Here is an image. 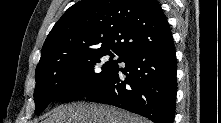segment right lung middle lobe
Returning a JSON list of instances; mask_svg holds the SVG:
<instances>
[{"label":"right lung middle lobe","mask_w":221,"mask_h":123,"mask_svg":"<svg viewBox=\"0 0 221 123\" xmlns=\"http://www.w3.org/2000/svg\"><path fill=\"white\" fill-rule=\"evenodd\" d=\"M116 55L119 60H112ZM123 57L122 53L95 50L54 59L37 66L35 114L41 113L54 100L84 98L93 85L103 82L114 72L117 62Z\"/></svg>","instance_id":"obj_1"}]
</instances>
